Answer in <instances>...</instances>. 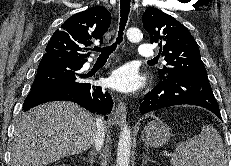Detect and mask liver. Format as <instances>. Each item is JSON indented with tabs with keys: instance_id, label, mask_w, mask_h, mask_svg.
<instances>
[{
	"instance_id": "6515ba94",
	"label": "liver",
	"mask_w": 231,
	"mask_h": 166,
	"mask_svg": "<svg viewBox=\"0 0 231 166\" xmlns=\"http://www.w3.org/2000/svg\"><path fill=\"white\" fill-rule=\"evenodd\" d=\"M94 116L71 102L30 109L16 125L10 166H45L89 149L95 140Z\"/></svg>"
}]
</instances>
